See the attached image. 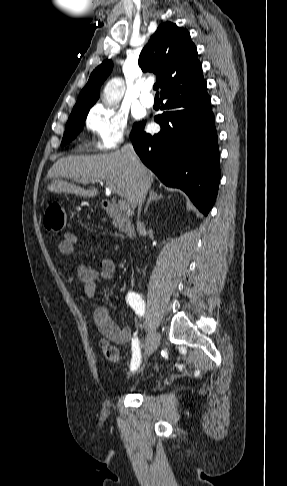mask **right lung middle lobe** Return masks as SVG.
Here are the masks:
<instances>
[{
	"label": "right lung middle lobe",
	"instance_id": "right-lung-middle-lobe-1",
	"mask_svg": "<svg viewBox=\"0 0 287 486\" xmlns=\"http://www.w3.org/2000/svg\"><path fill=\"white\" fill-rule=\"evenodd\" d=\"M88 112L89 110H86L81 113L70 115L68 122L66 124V130L61 142V146L72 141L76 137V135L80 132Z\"/></svg>",
	"mask_w": 287,
	"mask_h": 486
}]
</instances>
